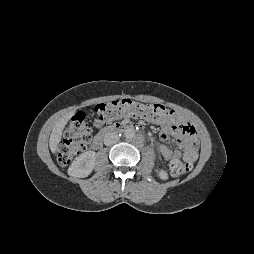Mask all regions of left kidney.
Wrapping results in <instances>:
<instances>
[{"instance_id": "5707ae66", "label": "left kidney", "mask_w": 254, "mask_h": 254, "mask_svg": "<svg viewBox=\"0 0 254 254\" xmlns=\"http://www.w3.org/2000/svg\"><path fill=\"white\" fill-rule=\"evenodd\" d=\"M158 175L162 180H167L168 179V174L165 170H160Z\"/></svg>"}]
</instances>
